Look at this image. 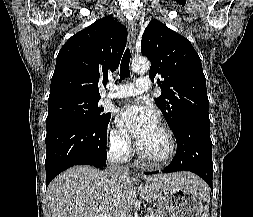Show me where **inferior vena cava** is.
I'll return each mask as SVG.
<instances>
[{
    "label": "inferior vena cava",
    "instance_id": "602c4592",
    "mask_svg": "<svg viewBox=\"0 0 253 217\" xmlns=\"http://www.w3.org/2000/svg\"><path fill=\"white\" fill-rule=\"evenodd\" d=\"M120 149H111L108 153L106 173L111 177L115 184H120V179L128 178L129 168L121 165Z\"/></svg>",
    "mask_w": 253,
    "mask_h": 217
}]
</instances>
